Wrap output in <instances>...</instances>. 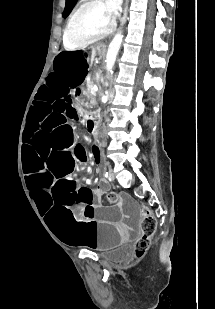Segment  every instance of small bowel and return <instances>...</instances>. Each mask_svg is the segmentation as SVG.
I'll return each instance as SVG.
<instances>
[{"label": "small bowel", "mask_w": 215, "mask_h": 309, "mask_svg": "<svg viewBox=\"0 0 215 309\" xmlns=\"http://www.w3.org/2000/svg\"><path fill=\"white\" fill-rule=\"evenodd\" d=\"M105 190H106V186H104V185L96 187L92 190V195H93L96 202L100 201V198H101L102 194L105 192Z\"/></svg>", "instance_id": "c3829d8e"}]
</instances>
